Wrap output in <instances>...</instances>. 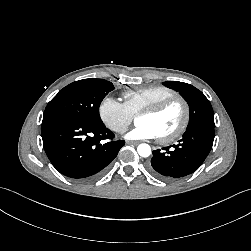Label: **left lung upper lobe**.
I'll return each mask as SVG.
<instances>
[{"mask_svg":"<svg viewBox=\"0 0 251 251\" xmlns=\"http://www.w3.org/2000/svg\"><path fill=\"white\" fill-rule=\"evenodd\" d=\"M165 83L180 91L189 103L190 118L187 128L199 124L215 126L212 106L200 90L184 82L166 81Z\"/></svg>","mask_w":251,"mask_h":251,"instance_id":"left-lung-upper-lobe-1","label":"left lung upper lobe"}]
</instances>
